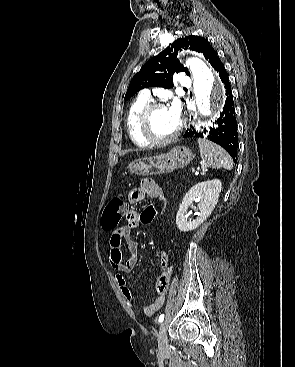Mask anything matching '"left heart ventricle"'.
<instances>
[{
	"mask_svg": "<svg viewBox=\"0 0 295 367\" xmlns=\"http://www.w3.org/2000/svg\"><path fill=\"white\" fill-rule=\"evenodd\" d=\"M178 125L179 122L171 115L167 107L156 110L151 117V131L158 138L171 136Z\"/></svg>",
	"mask_w": 295,
	"mask_h": 367,
	"instance_id": "b2bd125f",
	"label": "left heart ventricle"
}]
</instances>
